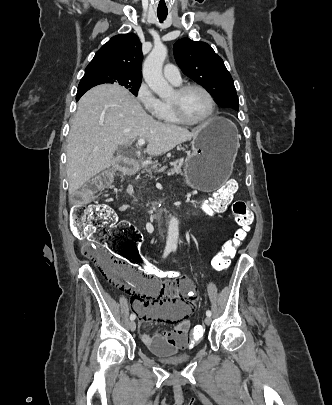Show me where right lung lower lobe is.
Returning a JSON list of instances; mask_svg holds the SVG:
<instances>
[{"label": "right lung lower lobe", "mask_w": 332, "mask_h": 405, "mask_svg": "<svg viewBox=\"0 0 332 405\" xmlns=\"http://www.w3.org/2000/svg\"><path fill=\"white\" fill-rule=\"evenodd\" d=\"M84 93H77L76 95V101H78L80 99V97L83 95Z\"/></svg>", "instance_id": "98d812e1"}]
</instances>
